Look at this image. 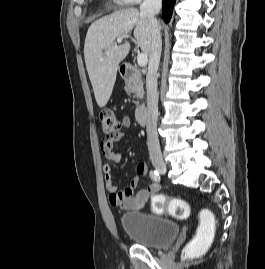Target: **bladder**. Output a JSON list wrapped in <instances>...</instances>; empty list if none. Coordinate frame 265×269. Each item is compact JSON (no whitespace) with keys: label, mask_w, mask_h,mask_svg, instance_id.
Instances as JSON below:
<instances>
[{"label":"bladder","mask_w":265,"mask_h":269,"mask_svg":"<svg viewBox=\"0 0 265 269\" xmlns=\"http://www.w3.org/2000/svg\"><path fill=\"white\" fill-rule=\"evenodd\" d=\"M120 225L136 244L152 249L169 246L179 233L176 223L141 211L123 213Z\"/></svg>","instance_id":"31cf9c89"}]
</instances>
